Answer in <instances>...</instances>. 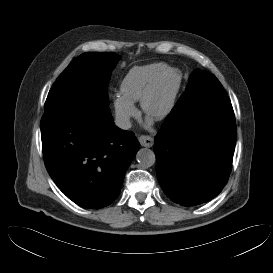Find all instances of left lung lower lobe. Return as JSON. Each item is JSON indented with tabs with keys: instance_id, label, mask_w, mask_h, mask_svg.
Returning a JSON list of instances; mask_svg holds the SVG:
<instances>
[{
	"instance_id": "left-lung-lower-lobe-1",
	"label": "left lung lower lobe",
	"mask_w": 273,
	"mask_h": 273,
	"mask_svg": "<svg viewBox=\"0 0 273 273\" xmlns=\"http://www.w3.org/2000/svg\"><path fill=\"white\" fill-rule=\"evenodd\" d=\"M208 91L174 106L154 143L157 178L167 197L195 206L216 197L231 172L237 131L225 90Z\"/></svg>"
}]
</instances>
